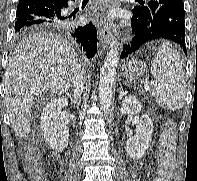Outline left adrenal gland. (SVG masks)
<instances>
[{"label":"left adrenal gland","instance_id":"left-adrenal-gland-1","mask_svg":"<svg viewBox=\"0 0 197 181\" xmlns=\"http://www.w3.org/2000/svg\"><path fill=\"white\" fill-rule=\"evenodd\" d=\"M127 92L124 91L123 87L120 88V93H119V100H122V98L125 96L126 97Z\"/></svg>","mask_w":197,"mask_h":181}]
</instances>
